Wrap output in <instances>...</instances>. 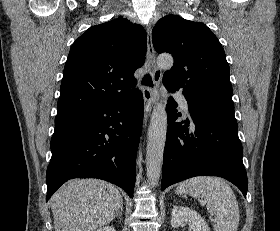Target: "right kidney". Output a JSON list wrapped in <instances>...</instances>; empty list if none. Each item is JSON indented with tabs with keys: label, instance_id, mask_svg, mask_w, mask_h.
<instances>
[{
	"label": "right kidney",
	"instance_id": "right-kidney-1",
	"mask_svg": "<svg viewBox=\"0 0 280 231\" xmlns=\"http://www.w3.org/2000/svg\"><path fill=\"white\" fill-rule=\"evenodd\" d=\"M96 231H116L112 225H105V227H99Z\"/></svg>",
	"mask_w": 280,
	"mask_h": 231
}]
</instances>
